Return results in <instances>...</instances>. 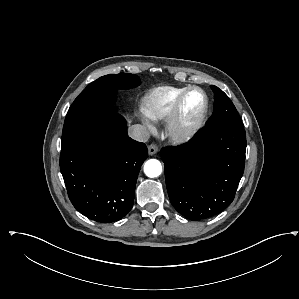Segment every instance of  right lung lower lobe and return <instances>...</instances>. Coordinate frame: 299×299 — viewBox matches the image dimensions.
Masks as SVG:
<instances>
[{
  "instance_id": "1",
  "label": "right lung lower lobe",
  "mask_w": 299,
  "mask_h": 299,
  "mask_svg": "<svg viewBox=\"0 0 299 299\" xmlns=\"http://www.w3.org/2000/svg\"><path fill=\"white\" fill-rule=\"evenodd\" d=\"M144 143L127 135L124 118L108 114L61 148L60 170L73 206L88 218L111 223L133 206Z\"/></svg>"
}]
</instances>
